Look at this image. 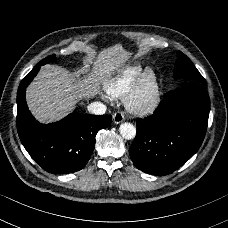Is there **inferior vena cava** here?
Listing matches in <instances>:
<instances>
[{"mask_svg":"<svg viewBox=\"0 0 228 228\" xmlns=\"http://www.w3.org/2000/svg\"><path fill=\"white\" fill-rule=\"evenodd\" d=\"M106 109V106L100 102H93L88 106V111L93 115H103Z\"/></svg>","mask_w":228,"mask_h":228,"instance_id":"602c4592","label":"inferior vena cava"}]
</instances>
